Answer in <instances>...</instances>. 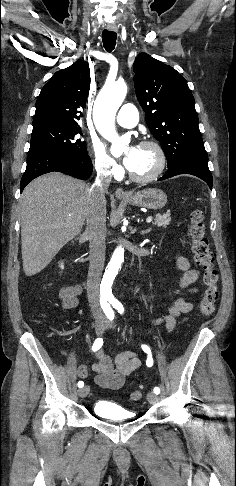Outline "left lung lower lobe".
<instances>
[{"instance_id": "left-lung-lower-lobe-1", "label": "left lung lower lobe", "mask_w": 236, "mask_h": 486, "mask_svg": "<svg viewBox=\"0 0 236 486\" xmlns=\"http://www.w3.org/2000/svg\"><path fill=\"white\" fill-rule=\"evenodd\" d=\"M179 174H191L204 180L210 189H212L213 179L212 174L208 168V165L196 164V163H181L175 166L169 167L164 176L158 180H165Z\"/></svg>"}]
</instances>
